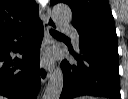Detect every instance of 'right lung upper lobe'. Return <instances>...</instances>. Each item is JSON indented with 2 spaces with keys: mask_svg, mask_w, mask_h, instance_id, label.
Masks as SVG:
<instances>
[{
  "mask_svg": "<svg viewBox=\"0 0 128 99\" xmlns=\"http://www.w3.org/2000/svg\"><path fill=\"white\" fill-rule=\"evenodd\" d=\"M38 18L35 0H0V37Z\"/></svg>",
  "mask_w": 128,
  "mask_h": 99,
  "instance_id": "right-lung-upper-lobe-1",
  "label": "right lung upper lobe"
}]
</instances>
